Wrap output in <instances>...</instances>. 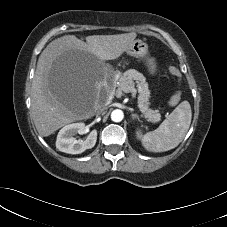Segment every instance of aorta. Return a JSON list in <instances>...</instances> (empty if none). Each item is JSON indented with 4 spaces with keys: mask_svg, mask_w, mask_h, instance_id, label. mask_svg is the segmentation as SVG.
<instances>
[{
    "mask_svg": "<svg viewBox=\"0 0 227 227\" xmlns=\"http://www.w3.org/2000/svg\"><path fill=\"white\" fill-rule=\"evenodd\" d=\"M124 118V113L120 109L113 110L111 113V120L114 122H120Z\"/></svg>",
    "mask_w": 227,
    "mask_h": 227,
    "instance_id": "762f6f07",
    "label": "aorta"
}]
</instances>
